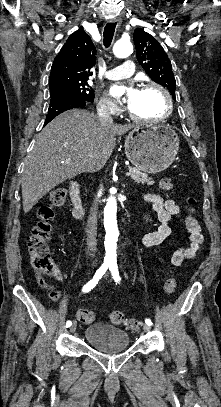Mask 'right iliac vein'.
<instances>
[{"label":"right iliac vein","mask_w":221,"mask_h":407,"mask_svg":"<svg viewBox=\"0 0 221 407\" xmlns=\"http://www.w3.org/2000/svg\"><path fill=\"white\" fill-rule=\"evenodd\" d=\"M76 327H77L76 322H73L72 325H71V327H70V332H71V333H74V332L76 331Z\"/></svg>","instance_id":"63e3f726"}]
</instances>
